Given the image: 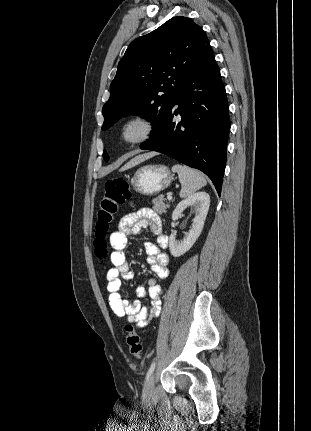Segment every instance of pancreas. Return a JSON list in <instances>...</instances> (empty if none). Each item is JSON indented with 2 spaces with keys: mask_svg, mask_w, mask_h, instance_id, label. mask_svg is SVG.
Wrapping results in <instances>:
<instances>
[{
  "mask_svg": "<svg viewBox=\"0 0 311 431\" xmlns=\"http://www.w3.org/2000/svg\"><path fill=\"white\" fill-rule=\"evenodd\" d=\"M152 204H154L153 210H155L157 214H166V210L170 208V204L169 202H165L164 196H158V198H154V200H152Z\"/></svg>",
  "mask_w": 311,
  "mask_h": 431,
  "instance_id": "1",
  "label": "pancreas"
}]
</instances>
